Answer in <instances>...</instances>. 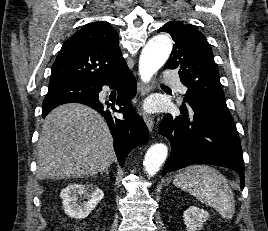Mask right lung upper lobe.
I'll return each mask as SVG.
<instances>
[{
    "instance_id": "cb5924a9",
    "label": "right lung upper lobe",
    "mask_w": 268,
    "mask_h": 231,
    "mask_svg": "<svg viewBox=\"0 0 268 231\" xmlns=\"http://www.w3.org/2000/svg\"><path fill=\"white\" fill-rule=\"evenodd\" d=\"M119 35L110 23L87 24L62 46L52 66L49 84L80 83L96 86L120 70L126 61L118 45ZM64 101H50L42 105L48 110Z\"/></svg>"
}]
</instances>
